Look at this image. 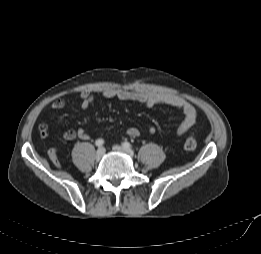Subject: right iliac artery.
<instances>
[{"label":"right iliac artery","mask_w":261,"mask_h":254,"mask_svg":"<svg viewBox=\"0 0 261 254\" xmlns=\"http://www.w3.org/2000/svg\"><path fill=\"white\" fill-rule=\"evenodd\" d=\"M95 144H96V146L101 147L104 144V140L98 139V140H96Z\"/></svg>","instance_id":"82829eb1"}]
</instances>
